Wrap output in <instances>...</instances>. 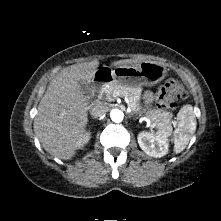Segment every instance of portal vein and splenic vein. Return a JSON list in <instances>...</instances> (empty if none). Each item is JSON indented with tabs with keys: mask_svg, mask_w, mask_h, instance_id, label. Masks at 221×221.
<instances>
[{
	"mask_svg": "<svg viewBox=\"0 0 221 221\" xmlns=\"http://www.w3.org/2000/svg\"><path fill=\"white\" fill-rule=\"evenodd\" d=\"M146 120V122L150 125V120L149 119H145Z\"/></svg>",
	"mask_w": 221,
	"mask_h": 221,
	"instance_id": "18ae733b",
	"label": "portal vein and splenic vein"
}]
</instances>
